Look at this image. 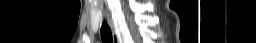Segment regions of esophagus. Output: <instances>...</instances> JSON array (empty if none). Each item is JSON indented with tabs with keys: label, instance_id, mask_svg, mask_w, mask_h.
<instances>
[{
	"label": "esophagus",
	"instance_id": "1",
	"mask_svg": "<svg viewBox=\"0 0 256 43\" xmlns=\"http://www.w3.org/2000/svg\"><path fill=\"white\" fill-rule=\"evenodd\" d=\"M110 24H111V27L113 28L112 22H110ZM113 42L114 43H119L118 39L116 37H114V36H113Z\"/></svg>",
	"mask_w": 256,
	"mask_h": 43
}]
</instances>
